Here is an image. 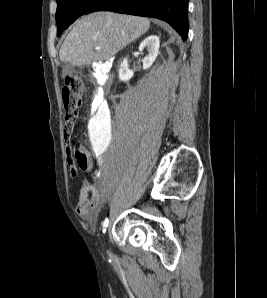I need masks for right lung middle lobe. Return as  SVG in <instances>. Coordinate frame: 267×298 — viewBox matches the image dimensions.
<instances>
[{
    "label": "right lung middle lobe",
    "instance_id": "obj_1",
    "mask_svg": "<svg viewBox=\"0 0 267 298\" xmlns=\"http://www.w3.org/2000/svg\"><path fill=\"white\" fill-rule=\"evenodd\" d=\"M99 0H57V36L78 17L91 12Z\"/></svg>",
    "mask_w": 267,
    "mask_h": 298
}]
</instances>
